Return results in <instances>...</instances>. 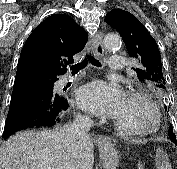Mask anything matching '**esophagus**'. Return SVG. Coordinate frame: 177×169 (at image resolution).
I'll return each instance as SVG.
<instances>
[{
	"label": "esophagus",
	"instance_id": "34e87169",
	"mask_svg": "<svg viewBox=\"0 0 177 169\" xmlns=\"http://www.w3.org/2000/svg\"><path fill=\"white\" fill-rule=\"evenodd\" d=\"M91 49L95 56H103L104 55V46H103V34L98 32L93 36L91 40Z\"/></svg>",
	"mask_w": 177,
	"mask_h": 169
}]
</instances>
